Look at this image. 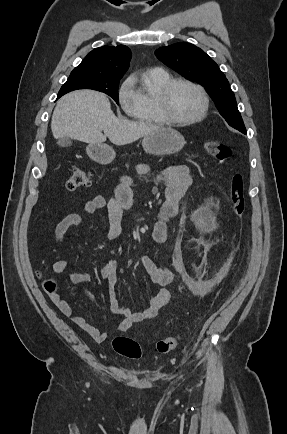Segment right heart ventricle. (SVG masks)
I'll return each instance as SVG.
<instances>
[{
	"instance_id": "obj_1",
	"label": "right heart ventricle",
	"mask_w": 287,
	"mask_h": 434,
	"mask_svg": "<svg viewBox=\"0 0 287 434\" xmlns=\"http://www.w3.org/2000/svg\"><path fill=\"white\" fill-rule=\"evenodd\" d=\"M172 76L164 69L156 68L144 73L142 83L137 89L139 105L131 114L137 121L149 124H165L157 105L158 91L170 80Z\"/></svg>"
}]
</instances>
